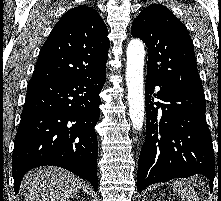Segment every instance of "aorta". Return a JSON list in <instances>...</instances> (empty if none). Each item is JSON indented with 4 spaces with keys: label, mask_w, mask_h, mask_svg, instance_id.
<instances>
[{
    "label": "aorta",
    "mask_w": 221,
    "mask_h": 201,
    "mask_svg": "<svg viewBox=\"0 0 221 201\" xmlns=\"http://www.w3.org/2000/svg\"><path fill=\"white\" fill-rule=\"evenodd\" d=\"M145 49L140 40L134 39L127 46L126 82L129 116L133 128L140 131L144 123V68Z\"/></svg>",
    "instance_id": "1"
}]
</instances>
